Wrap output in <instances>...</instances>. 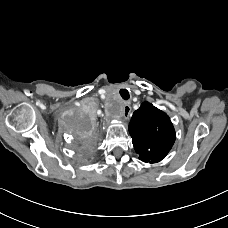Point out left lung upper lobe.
I'll use <instances>...</instances> for the list:
<instances>
[{
  "label": "left lung upper lobe",
  "mask_w": 228,
  "mask_h": 228,
  "mask_svg": "<svg viewBox=\"0 0 228 228\" xmlns=\"http://www.w3.org/2000/svg\"><path fill=\"white\" fill-rule=\"evenodd\" d=\"M129 132L140 160L150 163L165 158L176 139L169 116L149 102L133 113Z\"/></svg>",
  "instance_id": "obj_1"
}]
</instances>
